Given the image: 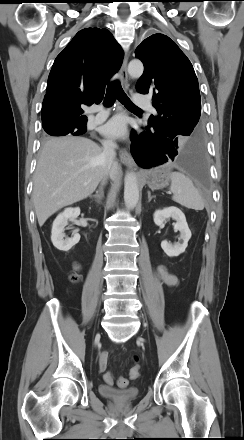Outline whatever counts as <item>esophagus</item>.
Here are the masks:
<instances>
[{"mask_svg": "<svg viewBox=\"0 0 244 440\" xmlns=\"http://www.w3.org/2000/svg\"><path fill=\"white\" fill-rule=\"evenodd\" d=\"M127 64H128V55H126L124 57V60H123V63H122V66H121L120 72H119L121 82L124 85H126L128 82ZM119 159L124 164L133 165V159L125 149H122L119 151Z\"/></svg>", "mask_w": 244, "mask_h": 440, "instance_id": "esophagus-1", "label": "esophagus"}]
</instances>
